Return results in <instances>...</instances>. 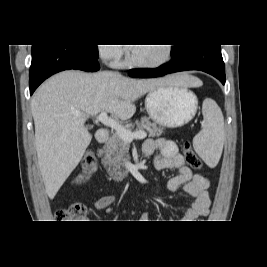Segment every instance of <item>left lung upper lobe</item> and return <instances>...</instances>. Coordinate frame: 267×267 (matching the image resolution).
Wrapping results in <instances>:
<instances>
[{"label": "left lung upper lobe", "instance_id": "left-lung-upper-lobe-1", "mask_svg": "<svg viewBox=\"0 0 267 267\" xmlns=\"http://www.w3.org/2000/svg\"><path fill=\"white\" fill-rule=\"evenodd\" d=\"M185 46H187V45H179V44L178 45H174V48L171 51L178 50V49L183 48Z\"/></svg>", "mask_w": 267, "mask_h": 267}]
</instances>
